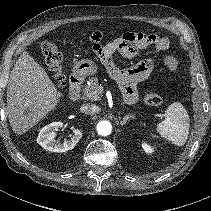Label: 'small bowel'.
<instances>
[{"mask_svg": "<svg viewBox=\"0 0 211 211\" xmlns=\"http://www.w3.org/2000/svg\"><path fill=\"white\" fill-rule=\"evenodd\" d=\"M132 34H134V32H126L122 36L130 37ZM111 44L112 43L107 44L106 46L109 47ZM152 67V62L150 60H146L136 66L123 70L116 67V65L108 69L111 77L117 81L122 92L123 99L127 104L132 105L137 102L138 94L136 85L150 75Z\"/></svg>", "mask_w": 211, "mask_h": 211, "instance_id": "c3829d8e", "label": "small bowel"}]
</instances>
